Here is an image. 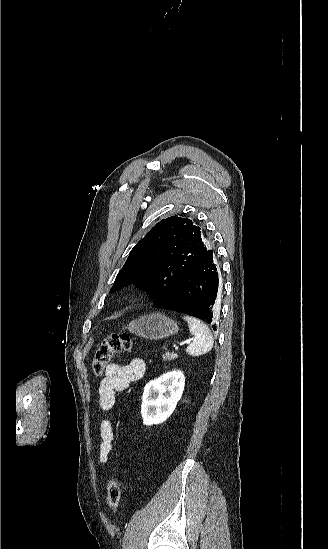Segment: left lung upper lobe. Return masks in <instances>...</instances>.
I'll return each instance as SVG.
<instances>
[{
	"label": "left lung upper lobe",
	"instance_id": "1",
	"mask_svg": "<svg viewBox=\"0 0 328 549\" xmlns=\"http://www.w3.org/2000/svg\"><path fill=\"white\" fill-rule=\"evenodd\" d=\"M205 251L200 227L191 220L177 216L163 219L133 247L110 291L134 282L154 301L164 299Z\"/></svg>",
	"mask_w": 328,
	"mask_h": 549
}]
</instances>
